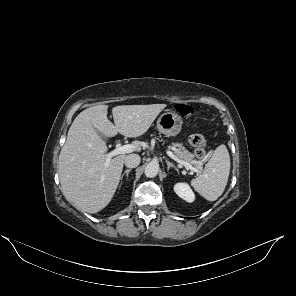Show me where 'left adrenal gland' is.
<instances>
[{"label": "left adrenal gland", "instance_id": "a2214340", "mask_svg": "<svg viewBox=\"0 0 296 296\" xmlns=\"http://www.w3.org/2000/svg\"><path fill=\"white\" fill-rule=\"evenodd\" d=\"M166 163H167V166H168L167 170H170V168H173L178 172V168L174 164L170 163L169 160H166Z\"/></svg>", "mask_w": 296, "mask_h": 296}]
</instances>
